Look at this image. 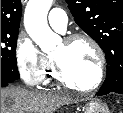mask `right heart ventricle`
<instances>
[{
    "instance_id": "1",
    "label": "right heart ventricle",
    "mask_w": 123,
    "mask_h": 113,
    "mask_svg": "<svg viewBox=\"0 0 123 113\" xmlns=\"http://www.w3.org/2000/svg\"><path fill=\"white\" fill-rule=\"evenodd\" d=\"M47 60H48V66H47V69L45 71L43 81H45V82H47L49 80L56 81V77H55V74H54L53 63H52L51 59L47 58Z\"/></svg>"
}]
</instances>
